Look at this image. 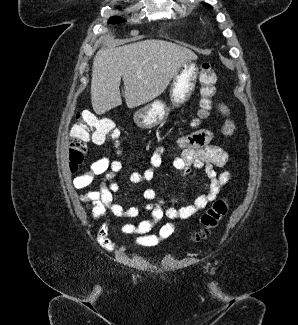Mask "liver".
Returning a JSON list of instances; mask_svg holds the SVG:
<instances>
[{
  "instance_id": "1",
  "label": "liver",
  "mask_w": 298,
  "mask_h": 325,
  "mask_svg": "<svg viewBox=\"0 0 298 325\" xmlns=\"http://www.w3.org/2000/svg\"><path fill=\"white\" fill-rule=\"evenodd\" d=\"M191 48L147 38L115 48H99L92 64L91 104L96 114H103L122 104L121 78L128 108L146 104L169 86L180 64L197 60Z\"/></svg>"
}]
</instances>
